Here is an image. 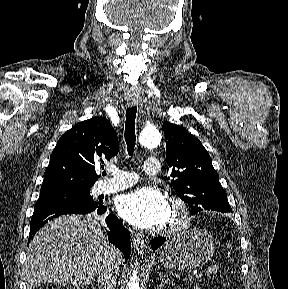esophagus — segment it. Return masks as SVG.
<instances>
[{"label":"esophagus","instance_id":"esophagus-1","mask_svg":"<svg viewBox=\"0 0 288 289\" xmlns=\"http://www.w3.org/2000/svg\"><path fill=\"white\" fill-rule=\"evenodd\" d=\"M136 105L135 101H128L127 106L132 107ZM133 244H134V250L139 254V255H144L147 251V245L145 241L139 237V236H134L133 237Z\"/></svg>","mask_w":288,"mask_h":289}]
</instances>
